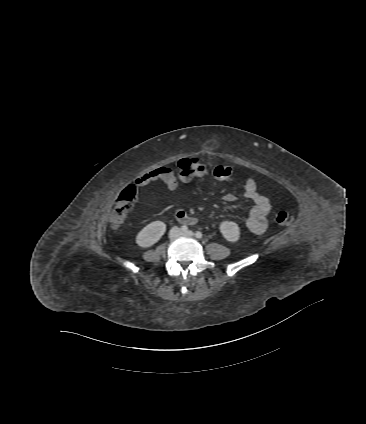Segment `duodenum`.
<instances>
[{"mask_svg": "<svg viewBox=\"0 0 366 424\" xmlns=\"http://www.w3.org/2000/svg\"><path fill=\"white\" fill-rule=\"evenodd\" d=\"M176 219L181 222V223H187V222H191L194 223L195 219L188 216L184 211L182 210H178L175 213Z\"/></svg>", "mask_w": 366, "mask_h": 424, "instance_id": "1", "label": "duodenum"}]
</instances>
